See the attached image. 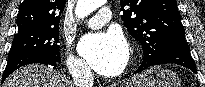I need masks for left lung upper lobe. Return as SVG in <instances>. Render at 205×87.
Returning <instances> with one entry per match:
<instances>
[{
    "label": "left lung upper lobe",
    "mask_w": 205,
    "mask_h": 87,
    "mask_svg": "<svg viewBox=\"0 0 205 87\" xmlns=\"http://www.w3.org/2000/svg\"><path fill=\"white\" fill-rule=\"evenodd\" d=\"M120 4L128 32L142 45L143 61L153 62L167 44L184 38L176 0H120Z\"/></svg>",
    "instance_id": "obj_1"
}]
</instances>
